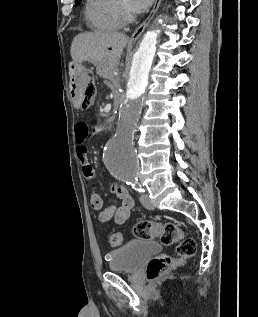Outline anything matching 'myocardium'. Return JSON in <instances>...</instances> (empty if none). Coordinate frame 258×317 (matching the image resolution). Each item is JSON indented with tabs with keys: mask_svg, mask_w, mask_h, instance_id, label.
Wrapping results in <instances>:
<instances>
[{
	"mask_svg": "<svg viewBox=\"0 0 258 317\" xmlns=\"http://www.w3.org/2000/svg\"><path fill=\"white\" fill-rule=\"evenodd\" d=\"M119 18L121 23H130L134 19V9L123 3L119 10Z\"/></svg>",
	"mask_w": 258,
	"mask_h": 317,
	"instance_id": "f54148a6",
	"label": "myocardium"
}]
</instances>
